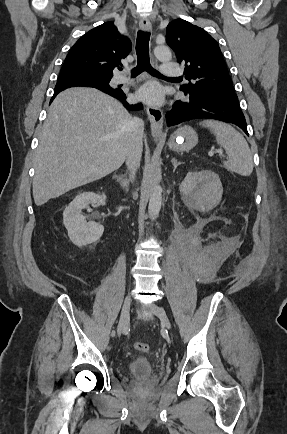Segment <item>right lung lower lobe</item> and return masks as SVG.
Returning a JSON list of instances; mask_svg holds the SVG:
<instances>
[{"label":"right lung lower lobe","mask_w":287,"mask_h":434,"mask_svg":"<svg viewBox=\"0 0 287 434\" xmlns=\"http://www.w3.org/2000/svg\"><path fill=\"white\" fill-rule=\"evenodd\" d=\"M69 87H73V86H56L52 100L60 91L66 89V88H69ZM90 87H92V86H90ZM95 88H98L101 91L109 94L110 96L120 100L123 103L124 107L128 110H139L142 108L141 103L140 104H134V105L127 103L126 95L120 88H116V89H104V88H100V87H95Z\"/></svg>","instance_id":"obj_1"}]
</instances>
